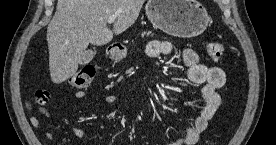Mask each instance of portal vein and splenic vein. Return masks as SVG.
<instances>
[{"label": "portal vein and splenic vein", "instance_id": "18ae733b", "mask_svg": "<svg viewBox=\"0 0 276 145\" xmlns=\"http://www.w3.org/2000/svg\"><path fill=\"white\" fill-rule=\"evenodd\" d=\"M115 20H116V16H109L108 17V19H107V22L109 23V24H112V23H114L115 22Z\"/></svg>", "mask_w": 276, "mask_h": 145}]
</instances>
